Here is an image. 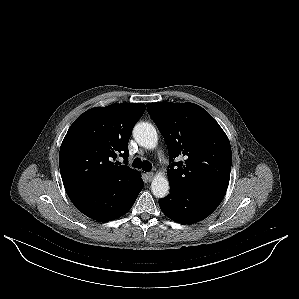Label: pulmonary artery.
Returning <instances> with one entry per match:
<instances>
[{
  "mask_svg": "<svg viewBox=\"0 0 299 299\" xmlns=\"http://www.w3.org/2000/svg\"><path fill=\"white\" fill-rule=\"evenodd\" d=\"M160 158H163V155H162V154H160Z\"/></svg>",
  "mask_w": 299,
  "mask_h": 299,
  "instance_id": "1",
  "label": "pulmonary artery"
}]
</instances>
